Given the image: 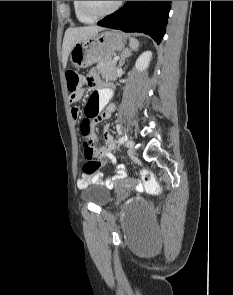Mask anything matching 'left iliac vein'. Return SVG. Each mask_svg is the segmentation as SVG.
Listing matches in <instances>:
<instances>
[{
    "mask_svg": "<svg viewBox=\"0 0 233 295\" xmlns=\"http://www.w3.org/2000/svg\"><path fill=\"white\" fill-rule=\"evenodd\" d=\"M132 141V144L131 145H127V147H128V154L130 155V156H134L135 155V147H134V141L133 140H131Z\"/></svg>",
    "mask_w": 233,
    "mask_h": 295,
    "instance_id": "4c4485c4",
    "label": "left iliac vein"
}]
</instances>
